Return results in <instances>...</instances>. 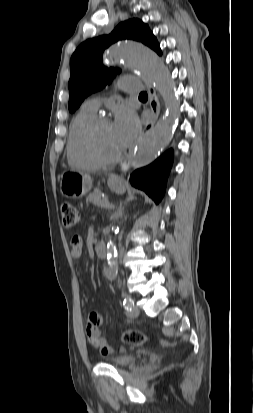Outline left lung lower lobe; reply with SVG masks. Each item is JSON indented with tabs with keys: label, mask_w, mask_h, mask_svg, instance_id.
Wrapping results in <instances>:
<instances>
[{
	"label": "left lung lower lobe",
	"mask_w": 253,
	"mask_h": 413,
	"mask_svg": "<svg viewBox=\"0 0 253 413\" xmlns=\"http://www.w3.org/2000/svg\"><path fill=\"white\" fill-rule=\"evenodd\" d=\"M172 161L173 152L168 150L149 166L133 172L130 176L131 184L144 190L156 203H159L165 193Z\"/></svg>",
	"instance_id": "obj_1"
}]
</instances>
